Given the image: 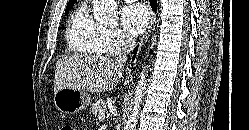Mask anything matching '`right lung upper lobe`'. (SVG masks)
Segmentation results:
<instances>
[{"mask_svg":"<svg viewBox=\"0 0 249 130\" xmlns=\"http://www.w3.org/2000/svg\"><path fill=\"white\" fill-rule=\"evenodd\" d=\"M75 2H76V0H69L68 5L74 4Z\"/></svg>","mask_w":249,"mask_h":130,"instance_id":"obj_1","label":"right lung upper lobe"}]
</instances>
